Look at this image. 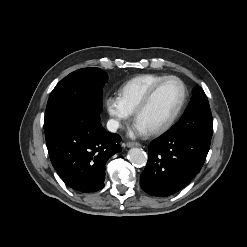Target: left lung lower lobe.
<instances>
[{
    "mask_svg": "<svg viewBox=\"0 0 247 247\" xmlns=\"http://www.w3.org/2000/svg\"><path fill=\"white\" fill-rule=\"evenodd\" d=\"M210 142L211 137L172 130L152 141L146 168L140 175L141 188L159 197L176 193L199 173Z\"/></svg>",
    "mask_w": 247,
    "mask_h": 247,
    "instance_id": "obj_1",
    "label": "left lung lower lobe"
}]
</instances>
